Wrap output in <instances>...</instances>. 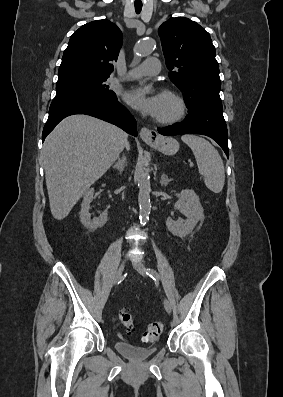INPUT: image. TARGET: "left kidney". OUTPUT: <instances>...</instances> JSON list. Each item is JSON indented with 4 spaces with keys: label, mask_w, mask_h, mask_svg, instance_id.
<instances>
[{
    "label": "left kidney",
    "mask_w": 283,
    "mask_h": 397,
    "mask_svg": "<svg viewBox=\"0 0 283 397\" xmlns=\"http://www.w3.org/2000/svg\"><path fill=\"white\" fill-rule=\"evenodd\" d=\"M175 209L181 211L186 216V220L174 221L171 217H168L166 226L173 235L180 238L192 233L198 221L204 219V210L193 190L185 189L181 191Z\"/></svg>",
    "instance_id": "1"
}]
</instances>
